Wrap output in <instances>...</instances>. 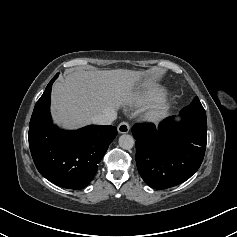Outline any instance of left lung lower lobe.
Segmentation results:
<instances>
[{"label": "left lung lower lobe", "instance_id": "obj_1", "mask_svg": "<svg viewBox=\"0 0 237 237\" xmlns=\"http://www.w3.org/2000/svg\"><path fill=\"white\" fill-rule=\"evenodd\" d=\"M136 164L143 180L154 189H166L189 179L200 167L206 149L207 121L183 117L132 127Z\"/></svg>", "mask_w": 237, "mask_h": 237}]
</instances>
